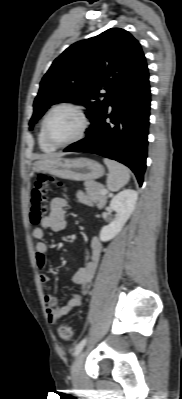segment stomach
<instances>
[{
	"instance_id": "1",
	"label": "stomach",
	"mask_w": 182,
	"mask_h": 399,
	"mask_svg": "<svg viewBox=\"0 0 182 399\" xmlns=\"http://www.w3.org/2000/svg\"><path fill=\"white\" fill-rule=\"evenodd\" d=\"M33 168L35 172L48 173L58 178L75 181L95 180L104 174L103 166L88 158H49L37 161Z\"/></svg>"
}]
</instances>
